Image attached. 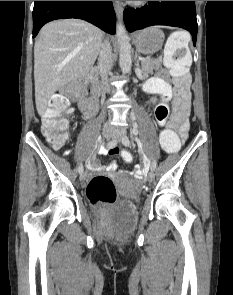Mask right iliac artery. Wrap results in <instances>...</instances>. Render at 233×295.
<instances>
[{"mask_svg": "<svg viewBox=\"0 0 233 295\" xmlns=\"http://www.w3.org/2000/svg\"><path fill=\"white\" fill-rule=\"evenodd\" d=\"M116 145V141H110L107 145H106V148H111V147H113V146H115ZM83 165L81 164L80 166H79V168H78V171H79V173L80 174H82L83 173Z\"/></svg>", "mask_w": 233, "mask_h": 295, "instance_id": "obj_1", "label": "right iliac artery"}]
</instances>
